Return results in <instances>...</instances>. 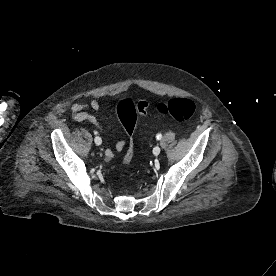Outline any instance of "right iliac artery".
<instances>
[{"instance_id": "obj_1", "label": "right iliac artery", "mask_w": 276, "mask_h": 276, "mask_svg": "<svg viewBox=\"0 0 276 276\" xmlns=\"http://www.w3.org/2000/svg\"><path fill=\"white\" fill-rule=\"evenodd\" d=\"M94 134H97V132H96V131H94ZM95 143H97V144H101V143H102L101 138H100L98 141H95Z\"/></svg>"}]
</instances>
